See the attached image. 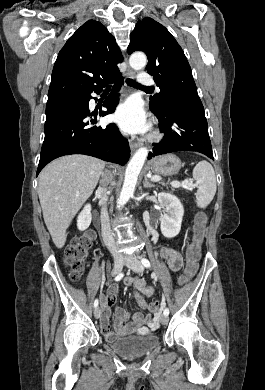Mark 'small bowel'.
Masks as SVG:
<instances>
[{"mask_svg": "<svg viewBox=\"0 0 265 390\" xmlns=\"http://www.w3.org/2000/svg\"><path fill=\"white\" fill-rule=\"evenodd\" d=\"M161 256L166 259L169 268L177 272L181 269L183 259L181 254L174 248L164 247L161 249ZM126 285H133L135 287V295L139 306L150 311V306L146 303L144 297H150L154 293V289L148 286L141 278H128L125 280ZM118 286L112 285L106 294L101 295L102 302V318L100 321L101 331L107 340H111L118 335H124L127 333H138L141 335L147 334L158 328V316H152L151 314L134 313L131 314L128 311L116 308L115 309V330H110L109 317L111 313V307L116 302Z\"/></svg>", "mask_w": 265, "mask_h": 390, "instance_id": "obj_1", "label": "small bowel"}]
</instances>
